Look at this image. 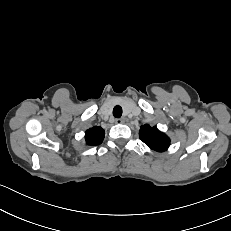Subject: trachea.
<instances>
[{"mask_svg":"<svg viewBox=\"0 0 231 231\" xmlns=\"http://www.w3.org/2000/svg\"><path fill=\"white\" fill-rule=\"evenodd\" d=\"M113 116L115 118H120L122 116V108L120 106H115L113 109Z\"/></svg>","mask_w":231,"mask_h":231,"instance_id":"obj_1","label":"trachea"}]
</instances>
